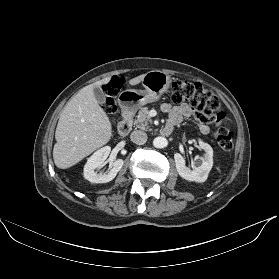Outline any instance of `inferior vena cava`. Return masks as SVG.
Listing matches in <instances>:
<instances>
[{
	"label": "inferior vena cava",
	"mask_w": 279,
	"mask_h": 279,
	"mask_svg": "<svg viewBox=\"0 0 279 279\" xmlns=\"http://www.w3.org/2000/svg\"><path fill=\"white\" fill-rule=\"evenodd\" d=\"M147 134L143 131H133L130 135V139L132 142L138 145H143L147 141Z\"/></svg>",
	"instance_id": "obj_1"
}]
</instances>
